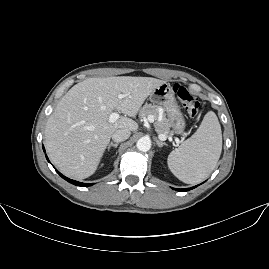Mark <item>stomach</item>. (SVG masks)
Masks as SVG:
<instances>
[{
    "instance_id": "1",
    "label": "stomach",
    "mask_w": 269,
    "mask_h": 269,
    "mask_svg": "<svg viewBox=\"0 0 269 269\" xmlns=\"http://www.w3.org/2000/svg\"><path fill=\"white\" fill-rule=\"evenodd\" d=\"M153 104L162 106L167 112L170 124L174 131L178 134L183 133L185 128V120L178 106L174 92L169 83H163L155 88L149 96Z\"/></svg>"
}]
</instances>
